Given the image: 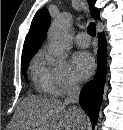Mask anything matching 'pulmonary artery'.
Here are the masks:
<instances>
[{"instance_id": "pulmonary-artery-1", "label": "pulmonary artery", "mask_w": 123, "mask_h": 130, "mask_svg": "<svg viewBox=\"0 0 123 130\" xmlns=\"http://www.w3.org/2000/svg\"><path fill=\"white\" fill-rule=\"evenodd\" d=\"M75 41H76L77 45H79L80 47H83V48L88 47L90 44V39H89L88 35L84 32L77 34L75 37Z\"/></svg>"}]
</instances>
